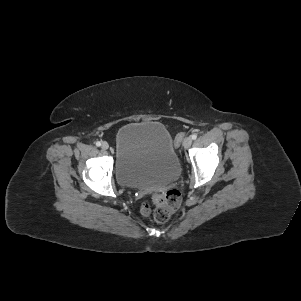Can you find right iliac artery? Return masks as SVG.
Here are the masks:
<instances>
[{
    "label": "right iliac artery",
    "instance_id": "right-iliac-artery-1",
    "mask_svg": "<svg viewBox=\"0 0 301 301\" xmlns=\"http://www.w3.org/2000/svg\"><path fill=\"white\" fill-rule=\"evenodd\" d=\"M95 144H96V146H98V147L101 146V142H100V141H97Z\"/></svg>",
    "mask_w": 301,
    "mask_h": 301
}]
</instances>
